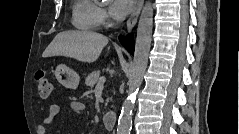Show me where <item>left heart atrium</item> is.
I'll list each match as a JSON object with an SVG mask.
<instances>
[{"label": "left heart atrium", "mask_w": 239, "mask_h": 134, "mask_svg": "<svg viewBox=\"0 0 239 134\" xmlns=\"http://www.w3.org/2000/svg\"><path fill=\"white\" fill-rule=\"evenodd\" d=\"M133 0H115L110 5V13L115 19H123L132 10Z\"/></svg>", "instance_id": "1"}]
</instances>
